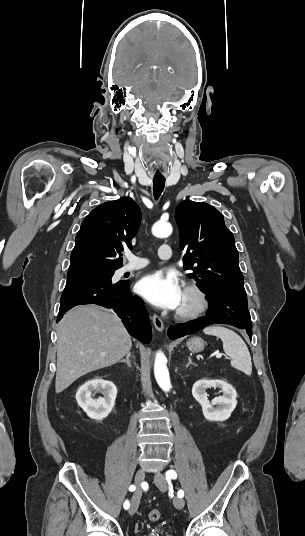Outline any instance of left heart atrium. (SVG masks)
<instances>
[{
	"label": "left heart atrium",
	"instance_id": "left-heart-atrium-1",
	"mask_svg": "<svg viewBox=\"0 0 305 536\" xmlns=\"http://www.w3.org/2000/svg\"><path fill=\"white\" fill-rule=\"evenodd\" d=\"M137 293L150 304L165 309H176L182 300L178 280L162 273L148 274L136 284Z\"/></svg>",
	"mask_w": 305,
	"mask_h": 536
}]
</instances>
